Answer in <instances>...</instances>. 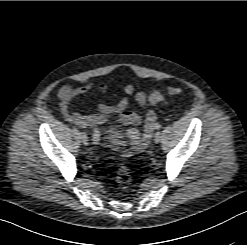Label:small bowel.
Here are the masks:
<instances>
[{"instance_id":"obj_1","label":"small bowel","mask_w":247,"mask_h":245,"mask_svg":"<svg viewBox=\"0 0 247 245\" xmlns=\"http://www.w3.org/2000/svg\"><path fill=\"white\" fill-rule=\"evenodd\" d=\"M96 89L99 93L105 94L108 86L105 83H87L80 87H74L67 83L58 91L59 108L64 118L80 128L88 126H99L106 123L113 114L120 113L117 120V126L121 125H143V134L140 135L137 129L131 128L124 133L125 138L130 143V147L126 150L125 155L129 156L134 152H140L149 144L154 123L157 119L156 112L148 108L149 99L145 92L139 91L135 93L134 85L127 83L124 87V96L116 106H108L103 102L98 105V113L90 116H83L75 111L71 103L74 99L85 95L91 90ZM134 94L136 102L144 110L142 114L125 111L129 104L130 97Z\"/></svg>"}]
</instances>
